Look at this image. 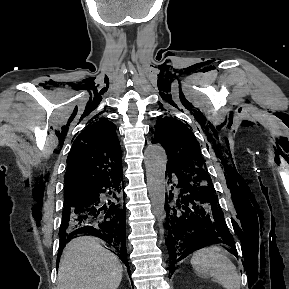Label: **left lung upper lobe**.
Instances as JSON below:
<instances>
[{"label":"left lung upper lobe","instance_id":"left-lung-upper-lobe-1","mask_svg":"<svg viewBox=\"0 0 289 289\" xmlns=\"http://www.w3.org/2000/svg\"><path fill=\"white\" fill-rule=\"evenodd\" d=\"M153 143L162 144L166 150L169 169L192 180L213 185L200 152V145L184 123L172 117H158Z\"/></svg>","mask_w":289,"mask_h":289}]
</instances>
